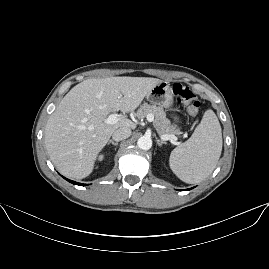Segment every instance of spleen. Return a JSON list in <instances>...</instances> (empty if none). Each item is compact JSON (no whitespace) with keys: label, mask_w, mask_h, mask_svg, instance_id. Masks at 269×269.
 I'll use <instances>...</instances> for the list:
<instances>
[{"label":"spleen","mask_w":269,"mask_h":269,"mask_svg":"<svg viewBox=\"0 0 269 269\" xmlns=\"http://www.w3.org/2000/svg\"><path fill=\"white\" fill-rule=\"evenodd\" d=\"M222 151V132L219 120L208 110L193 133L169 157L172 172L187 184H196L214 170Z\"/></svg>","instance_id":"3e777b00"}]
</instances>
